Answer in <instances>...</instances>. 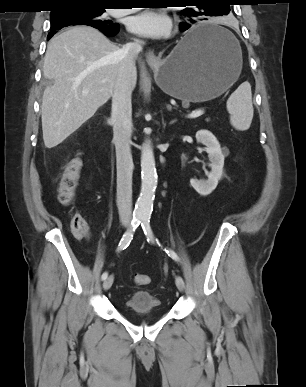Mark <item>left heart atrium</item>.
<instances>
[{"label":"left heart atrium","mask_w":306,"mask_h":387,"mask_svg":"<svg viewBox=\"0 0 306 387\" xmlns=\"http://www.w3.org/2000/svg\"><path fill=\"white\" fill-rule=\"evenodd\" d=\"M128 29L144 37L161 38L170 32L171 20L160 12L146 10L129 19Z\"/></svg>","instance_id":"1"}]
</instances>
